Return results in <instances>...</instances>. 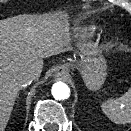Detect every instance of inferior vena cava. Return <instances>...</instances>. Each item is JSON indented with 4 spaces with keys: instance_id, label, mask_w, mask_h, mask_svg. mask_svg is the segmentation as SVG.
<instances>
[{
    "instance_id": "1",
    "label": "inferior vena cava",
    "mask_w": 131,
    "mask_h": 131,
    "mask_svg": "<svg viewBox=\"0 0 131 131\" xmlns=\"http://www.w3.org/2000/svg\"><path fill=\"white\" fill-rule=\"evenodd\" d=\"M37 79V76L34 72L24 73L20 78L21 87H26L31 84L33 80Z\"/></svg>"
}]
</instances>
